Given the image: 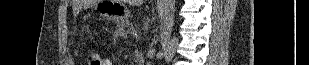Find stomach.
Here are the masks:
<instances>
[{"label":"stomach","instance_id":"stomach-1","mask_svg":"<svg viewBox=\"0 0 309 65\" xmlns=\"http://www.w3.org/2000/svg\"><path fill=\"white\" fill-rule=\"evenodd\" d=\"M97 11L100 15L114 21L119 26L125 27L127 25V7L120 0L103 1L98 5Z\"/></svg>","mask_w":309,"mask_h":65}]
</instances>
